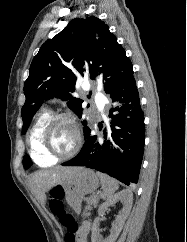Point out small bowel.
Segmentation results:
<instances>
[{
  "mask_svg": "<svg viewBox=\"0 0 187 242\" xmlns=\"http://www.w3.org/2000/svg\"><path fill=\"white\" fill-rule=\"evenodd\" d=\"M91 225L89 222L85 221L81 224L79 230L77 231V237L80 242H88L87 237L90 232Z\"/></svg>",
  "mask_w": 187,
  "mask_h": 242,
  "instance_id": "c3829d8e",
  "label": "small bowel"
}]
</instances>
